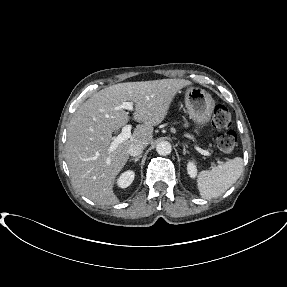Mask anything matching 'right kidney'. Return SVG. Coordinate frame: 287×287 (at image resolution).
<instances>
[{"instance_id":"obj_1","label":"right kidney","mask_w":287,"mask_h":287,"mask_svg":"<svg viewBox=\"0 0 287 287\" xmlns=\"http://www.w3.org/2000/svg\"><path fill=\"white\" fill-rule=\"evenodd\" d=\"M135 173L131 170H128L121 174L119 177L117 184L121 188L128 187L134 180Z\"/></svg>"}]
</instances>
